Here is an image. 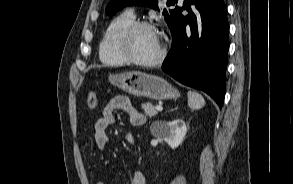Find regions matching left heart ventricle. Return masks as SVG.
Masks as SVG:
<instances>
[{"label":"left heart ventricle","mask_w":293,"mask_h":184,"mask_svg":"<svg viewBox=\"0 0 293 184\" xmlns=\"http://www.w3.org/2000/svg\"><path fill=\"white\" fill-rule=\"evenodd\" d=\"M161 50L159 35L147 28L137 30L130 42L132 55L139 60H152Z\"/></svg>","instance_id":"left-heart-ventricle-1"}]
</instances>
